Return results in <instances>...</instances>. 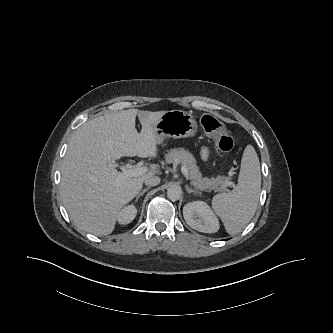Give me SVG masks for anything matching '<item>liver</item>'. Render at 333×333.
Listing matches in <instances>:
<instances>
[{
	"mask_svg": "<svg viewBox=\"0 0 333 333\" xmlns=\"http://www.w3.org/2000/svg\"><path fill=\"white\" fill-rule=\"evenodd\" d=\"M166 111L128 109L84 123L72 136L61 169L64 207L80 229L94 235L113 232L117 215L142 189L158 165L137 177L119 179L112 166L123 157H157L154 127ZM136 116L142 125L135 128Z\"/></svg>",
	"mask_w": 333,
	"mask_h": 333,
	"instance_id": "liver-1",
	"label": "liver"
}]
</instances>
